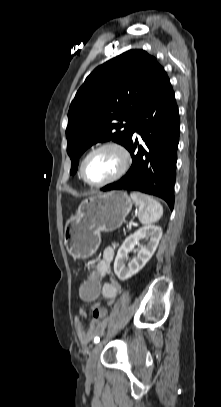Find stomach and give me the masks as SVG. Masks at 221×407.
<instances>
[{
  "label": "stomach",
  "instance_id": "stomach-1",
  "mask_svg": "<svg viewBox=\"0 0 221 407\" xmlns=\"http://www.w3.org/2000/svg\"><path fill=\"white\" fill-rule=\"evenodd\" d=\"M132 209L123 191L89 197L81 202L64 230V244L73 258H88L98 249L101 232L118 229Z\"/></svg>",
  "mask_w": 221,
  "mask_h": 407
}]
</instances>
